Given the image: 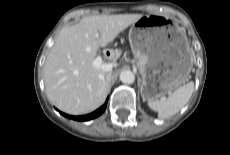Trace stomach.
Returning <instances> with one entry per match:
<instances>
[{"label": "stomach", "instance_id": "0dacf381", "mask_svg": "<svg viewBox=\"0 0 230 155\" xmlns=\"http://www.w3.org/2000/svg\"><path fill=\"white\" fill-rule=\"evenodd\" d=\"M129 43L143 78L144 100H159L187 81L193 51L183 29L171 19L141 17L130 28Z\"/></svg>", "mask_w": 230, "mask_h": 155}]
</instances>
